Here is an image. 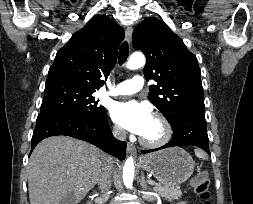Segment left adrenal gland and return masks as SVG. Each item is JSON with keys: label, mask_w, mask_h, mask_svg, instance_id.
<instances>
[{"label": "left adrenal gland", "mask_w": 253, "mask_h": 204, "mask_svg": "<svg viewBox=\"0 0 253 204\" xmlns=\"http://www.w3.org/2000/svg\"><path fill=\"white\" fill-rule=\"evenodd\" d=\"M139 183L143 189H150L145 181L144 172L141 173V178L139 180Z\"/></svg>", "instance_id": "obj_1"}]
</instances>
